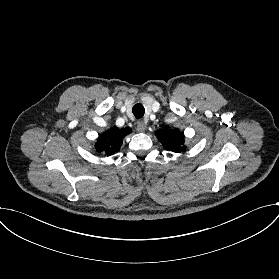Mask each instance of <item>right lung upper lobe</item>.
Wrapping results in <instances>:
<instances>
[{
  "label": "right lung upper lobe",
  "mask_w": 279,
  "mask_h": 279,
  "mask_svg": "<svg viewBox=\"0 0 279 279\" xmlns=\"http://www.w3.org/2000/svg\"><path fill=\"white\" fill-rule=\"evenodd\" d=\"M130 132L129 128L118 129L113 127L109 131L102 133L95 144L97 152L107 156L114 154L120 149L123 138Z\"/></svg>",
  "instance_id": "obj_1"
}]
</instances>
